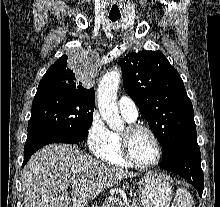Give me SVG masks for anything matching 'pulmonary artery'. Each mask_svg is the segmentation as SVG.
Here are the masks:
<instances>
[{"label": "pulmonary artery", "instance_id": "1", "mask_svg": "<svg viewBox=\"0 0 220 207\" xmlns=\"http://www.w3.org/2000/svg\"><path fill=\"white\" fill-rule=\"evenodd\" d=\"M118 107L124 116L135 120L138 116V109L135 102L128 96L123 95L118 100Z\"/></svg>", "mask_w": 220, "mask_h": 207}]
</instances>
